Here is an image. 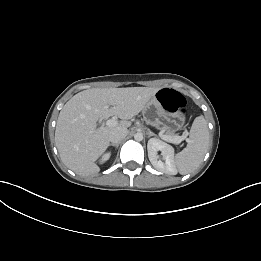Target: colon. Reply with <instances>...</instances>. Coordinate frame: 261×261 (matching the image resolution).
<instances>
[{
	"label": "colon",
	"mask_w": 261,
	"mask_h": 261,
	"mask_svg": "<svg viewBox=\"0 0 261 261\" xmlns=\"http://www.w3.org/2000/svg\"><path fill=\"white\" fill-rule=\"evenodd\" d=\"M157 98L166 111L186 115V101L178 91L164 88L158 92Z\"/></svg>",
	"instance_id": "5ec220e1"
}]
</instances>
